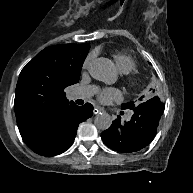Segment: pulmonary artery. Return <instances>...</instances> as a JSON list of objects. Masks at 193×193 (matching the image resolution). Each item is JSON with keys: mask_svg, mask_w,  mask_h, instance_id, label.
Listing matches in <instances>:
<instances>
[{"mask_svg": "<svg viewBox=\"0 0 193 193\" xmlns=\"http://www.w3.org/2000/svg\"><path fill=\"white\" fill-rule=\"evenodd\" d=\"M97 91V87L94 85L80 86L73 91V96L83 98L92 96Z\"/></svg>", "mask_w": 193, "mask_h": 193, "instance_id": "pulmonary-artery-1", "label": "pulmonary artery"}]
</instances>
